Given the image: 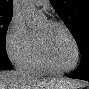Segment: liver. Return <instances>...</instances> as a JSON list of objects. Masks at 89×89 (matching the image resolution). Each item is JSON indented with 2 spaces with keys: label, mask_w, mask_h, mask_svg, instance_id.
<instances>
[{
  "label": "liver",
  "mask_w": 89,
  "mask_h": 89,
  "mask_svg": "<svg viewBox=\"0 0 89 89\" xmlns=\"http://www.w3.org/2000/svg\"><path fill=\"white\" fill-rule=\"evenodd\" d=\"M81 84L64 79L40 80L15 71L0 73L1 89H76Z\"/></svg>",
  "instance_id": "6515ba94"
}]
</instances>
